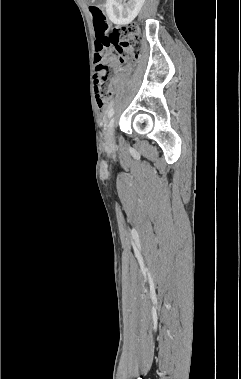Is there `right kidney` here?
I'll use <instances>...</instances> for the list:
<instances>
[{
	"label": "right kidney",
	"instance_id": "1",
	"mask_svg": "<svg viewBox=\"0 0 241 379\" xmlns=\"http://www.w3.org/2000/svg\"><path fill=\"white\" fill-rule=\"evenodd\" d=\"M107 0L106 13L109 20L116 25L131 23L141 10L145 0Z\"/></svg>",
	"mask_w": 241,
	"mask_h": 379
}]
</instances>
